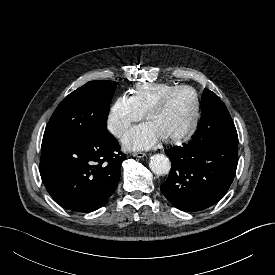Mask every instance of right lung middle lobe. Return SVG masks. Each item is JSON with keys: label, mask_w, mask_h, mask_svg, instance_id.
Listing matches in <instances>:
<instances>
[{"label": "right lung middle lobe", "mask_w": 275, "mask_h": 275, "mask_svg": "<svg viewBox=\"0 0 275 275\" xmlns=\"http://www.w3.org/2000/svg\"><path fill=\"white\" fill-rule=\"evenodd\" d=\"M117 83L91 81L69 94L56 108L43 136L47 139H86L107 131V116Z\"/></svg>", "instance_id": "1"}]
</instances>
